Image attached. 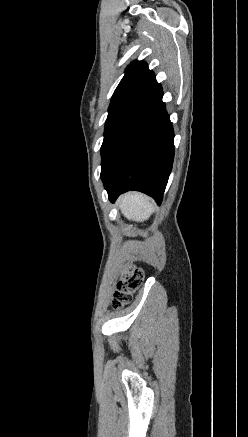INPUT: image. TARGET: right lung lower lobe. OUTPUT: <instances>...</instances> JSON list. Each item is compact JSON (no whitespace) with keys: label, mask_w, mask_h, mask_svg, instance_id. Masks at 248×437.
Wrapping results in <instances>:
<instances>
[{"label":"right lung lower lobe","mask_w":248,"mask_h":437,"mask_svg":"<svg viewBox=\"0 0 248 437\" xmlns=\"http://www.w3.org/2000/svg\"><path fill=\"white\" fill-rule=\"evenodd\" d=\"M155 80L135 100L102 154L101 179L109 200L129 190L160 205L172 169L174 131Z\"/></svg>","instance_id":"98d812e1"}]
</instances>
